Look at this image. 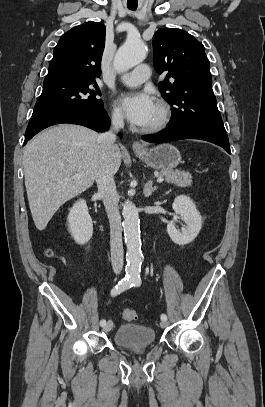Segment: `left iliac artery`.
<instances>
[{"label":"left iliac artery","instance_id":"1","mask_svg":"<svg viewBox=\"0 0 265 407\" xmlns=\"http://www.w3.org/2000/svg\"><path fill=\"white\" fill-rule=\"evenodd\" d=\"M141 285V279L138 277V278H135L134 280H133V286H140ZM161 320H163V321H166L167 320V316H166V314H162L161 315Z\"/></svg>","mask_w":265,"mask_h":407}]
</instances>
